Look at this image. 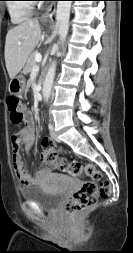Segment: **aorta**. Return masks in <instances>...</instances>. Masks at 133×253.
I'll return each instance as SVG.
<instances>
[{"label": "aorta", "mask_w": 133, "mask_h": 253, "mask_svg": "<svg viewBox=\"0 0 133 253\" xmlns=\"http://www.w3.org/2000/svg\"><path fill=\"white\" fill-rule=\"evenodd\" d=\"M72 1H58L56 10V26L58 27L59 34V44H63L67 38L69 30V18H70V8ZM60 52L57 53V55ZM56 71V61H53L47 71L44 83H43V97L47 102L51 95L53 80Z\"/></svg>", "instance_id": "1"}]
</instances>
